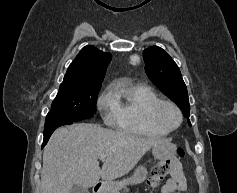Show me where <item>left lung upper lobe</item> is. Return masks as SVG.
I'll return each mask as SVG.
<instances>
[{"mask_svg":"<svg viewBox=\"0 0 237 193\" xmlns=\"http://www.w3.org/2000/svg\"><path fill=\"white\" fill-rule=\"evenodd\" d=\"M145 71L149 79L182 110L189 119V99L180 70L172 58L160 47L143 51ZM188 124L191 125L188 120Z\"/></svg>","mask_w":237,"mask_h":193,"instance_id":"1","label":"left lung upper lobe"}]
</instances>
